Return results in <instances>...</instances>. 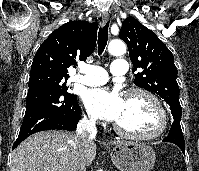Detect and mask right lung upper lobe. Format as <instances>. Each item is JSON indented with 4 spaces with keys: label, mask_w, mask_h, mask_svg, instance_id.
Returning <instances> with one entry per match:
<instances>
[{
    "label": "right lung upper lobe",
    "mask_w": 199,
    "mask_h": 171,
    "mask_svg": "<svg viewBox=\"0 0 199 171\" xmlns=\"http://www.w3.org/2000/svg\"><path fill=\"white\" fill-rule=\"evenodd\" d=\"M98 23L71 21L53 31L41 44L31 66L30 76L48 74L68 77L76 59L85 61L94 51Z\"/></svg>",
    "instance_id": "right-lung-upper-lobe-1"
}]
</instances>
